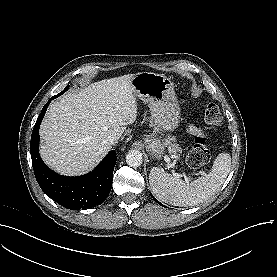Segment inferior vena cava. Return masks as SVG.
Here are the masks:
<instances>
[{
    "instance_id": "1",
    "label": "inferior vena cava",
    "mask_w": 277,
    "mask_h": 277,
    "mask_svg": "<svg viewBox=\"0 0 277 277\" xmlns=\"http://www.w3.org/2000/svg\"><path fill=\"white\" fill-rule=\"evenodd\" d=\"M118 139H119V136H117L116 134L115 135L114 134L113 135H109L106 138L105 143L107 145L111 146V145H114L115 143H117Z\"/></svg>"
}]
</instances>
